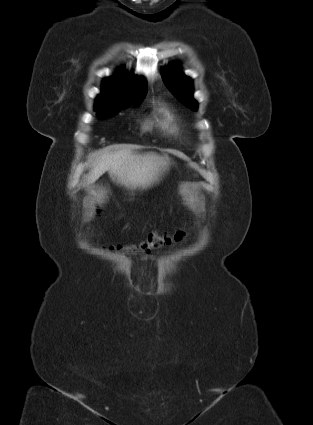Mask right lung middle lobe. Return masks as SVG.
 Masks as SVG:
<instances>
[{
	"instance_id": "obj_1",
	"label": "right lung middle lobe",
	"mask_w": 313,
	"mask_h": 425,
	"mask_svg": "<svg viewBox=\"0 0 313 425\" xmlns=\"http://www.w3.org/2000/svg\"><path fill=\"white\" fill-rule=\"evenodd\" d=\"M142 100L135 102H125L119 99H109L104 101H98L95 103V111L97 112L98 118H106L118 113L121 109L127 108L132 103L138 104Z\"/></svg>"
}]
</instances>
